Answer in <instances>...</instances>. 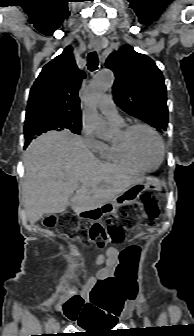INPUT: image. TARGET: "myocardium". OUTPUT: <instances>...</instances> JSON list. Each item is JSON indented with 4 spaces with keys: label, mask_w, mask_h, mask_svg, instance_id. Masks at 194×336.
<instances>
[{
    "label": "myocardium",
    "mask_w": 194,
    "mask_h": 336,
    "mask_svg": "<svg viewBox=\"0 0 194 336\" xmlns=\"http://www.w3.org/2000/svg\"><path fill=\"white\" fill-rule=\"evenodd\" d=\"M137 129H146V130L150 131L155 136V138H156V140H157V142L160 146V159L157 162V164L148 165L143 160H141L139 158V156L137 155V153L134 149L133 143H132V134ZM120 141H121L122 145L124 146V148L126 149V151L129 153V155L137 163H139L140 165L144 166L145 168H147L149 170L156 169L162 163V161L164 159L165 145H164L163 139L160 136L159 132L149 124L138 122V123H133V124H130V125L124 127L122 132H121Z\"/></svg>",
    "instance_id": "myocardium-1"
}]
</instances>
